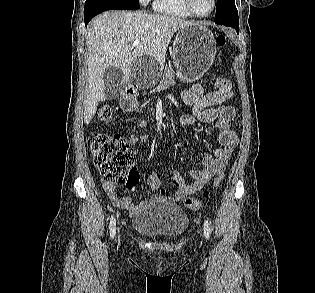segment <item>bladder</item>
Segmentation results:
<instances>
[{
    "label": "bladder",
    "mask_w": 315,
    "mask_h": 293,
    "mask_svg": "<svg viewBox=\"0 0 315 293\" xmlns=\"http://www.w3.org/2000/svg\"><path fill=\"white\" fill-rule=\"evenodd\" d=\"M189 217L177 205L153 202L132 219L133 229L145 236L176 239L184 234Z\"/></svg>",
    "instance_id": "31cf9c89"
}]
</instances>
